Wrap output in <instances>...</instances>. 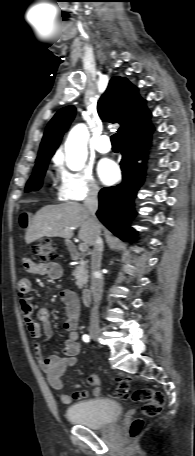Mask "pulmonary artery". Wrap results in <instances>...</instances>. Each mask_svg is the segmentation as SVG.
I'll return each instance as SVG.
<instances>
[{
    "instance_id": "obj_1",
    "label": "pulmonary artery",
    "mask_w": 195,
    "mask_h": 456,
    "mask_svg": "<svg viewBox=\"0 0 195 456\" xmlns=\"http://www.w3.org/2000/svg\"><path fill=\"white\" fill-rule=\"evenodd\" d=\"M96 150L101 154H107L111 151V143L108 136L103 135L98 139Z\"/></svg>"
}]
</instances>
